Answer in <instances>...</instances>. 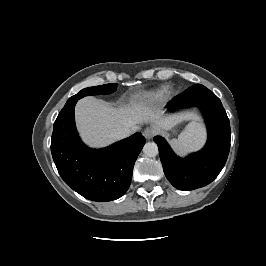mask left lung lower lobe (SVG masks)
Wrapping results in <instances>:
<instances>
[{"label":"left lung lower lobe","instance_id":"obj_1","mask_svg":"<svg viewBox=\"0 0 266 266\" xmlns=\"http://www.w3.org/2000/svg\"><path fill=\"white\" fill-rule=\"evenodd\" d=\"M189 105L199 107L205 118L208 140L202 150L180 158L164 138H154L164 173L180 190H193L211 183L224 167L230 150V123L220 99L205 86L197 84L174 97L166 107L168 111H174Z\"/></svg>","mask_w":266,"mask_h":266}]
</instances>
